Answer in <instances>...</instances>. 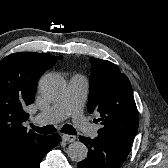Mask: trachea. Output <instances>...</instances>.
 Segmentation results:
<instances>
[{
    "mask_svg": "<svg viewBox=\"0 0 168 168\" xmlns=\"http://www.w3.org/2000/svg\"><path fill=\"white\" fill-rule=\"evenodd\" d=\"M31 127L33 130L41 133V134H51V133H54L56 131V128L52 125H47V126H44V127H37V126H34L31 124ZM61 131L63 133H66V134H69V135H75L77 132L76 130L74 129L73 126L71 125H64L62 128H61Z\"/></svg>",
    "mask_w": 168,
    "mask_h": 168,
    "instance_id": "1",
    "label": "trachea"
}]
</instances>
